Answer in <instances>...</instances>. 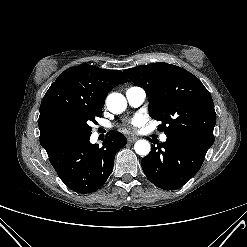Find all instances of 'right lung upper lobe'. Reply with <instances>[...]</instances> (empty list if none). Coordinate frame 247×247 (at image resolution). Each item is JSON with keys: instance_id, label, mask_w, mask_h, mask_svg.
I'll list each match as a JSON object with an SVG mask.
<instances>
[{"instance_id": "right-lung-upper-lobe-1", "label": "right lung upper lobe", "mask_w": 247, "mask_h": 247, "mask_svg": "<svg viewBox=\"0 0 247 247\" xmlns=\"http://www.w3.org/2000/svg\"><path fill=\"white\" fill-rule=\"evenodd\" d=\"M126 82L120 70H105L88 64L65 70L50 86L40 105L42 147L48 152L57 146L50 134L54 120L87 110L102 111L107 93Z\"/></svg>"}]
</instances>
